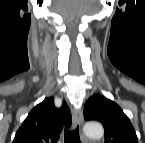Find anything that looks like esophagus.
<instances>
[{"label":"esophagus","mask_w":145,"mask_h":143,"mask_svg":"<svg viewBox=\"0 0 145 143\" xmlns=\"http://www.w3.org/2000/svg\"><path fill=\"white\" fill-rule=\"evenodd\" d=\"M72 121L75 127H78L80 132L83 125V114L81 110L74 109L72 110ZM83 140H85L84 136L81 134Z\"/></svg>","instance_id":"esophagus-1"}]
</instances>
